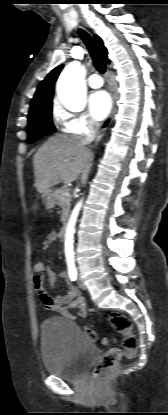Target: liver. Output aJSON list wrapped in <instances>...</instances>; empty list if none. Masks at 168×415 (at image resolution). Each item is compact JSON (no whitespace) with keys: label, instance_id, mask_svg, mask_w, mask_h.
Here are the masks:
<instances>
[{"label":"liver","instance_id":"liver-1","mask_svg":"<svg viewBox=\"0 0 168 415\" xmlns=\"http://www.w3.org/2000/svg\"><path fill=\"white\" fill-rule=\"evenodd\" d=\"M92 152L77 135H56L49 138L33 157L35 187L39 193L60 183L75 181Z\"/></svg>","mask_w":168,"mask_h":415}]
</instances>
